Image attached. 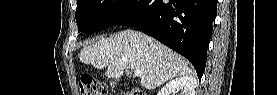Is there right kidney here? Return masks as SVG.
Wrapping results in <instances>:
<instances>
[{"label":"right kidney","instance_id":"1","mask_svg":"<svg viewBox=\"0 0 277 95\" xmlns=\"http://www.w3.org/2000/svg\"><path fill=\"white\" fill-rule=\"evenodd\" d=\"M196 80L191 76H183L169 81L157 95H170L171 93L184 88V95H195Z\"/></svg>","mask_w":277,"mask_h":95}]
</instances>
